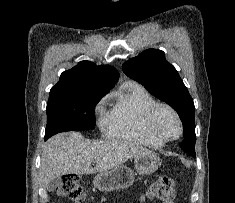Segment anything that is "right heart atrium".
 I'll use <instances>...</instances> for the list:
<instances>
[{
	"label": "right heart atrium",
	"mask_w": 235,
	"mask_h": 203,
	"mask_svg": "<svg viewBox=\"0 0 235 203\" xmlns=\"http://www.w3.org/2000/svg\"><path fill=\"white\" fill-rule=\"evenodd\" d=\"M105 102H106V98L102 99V100L98 103V105H97V107H96V110H97L98 112H101V111L104 109Z\"/></svg>",
	"instance_id": "obj_1"
}]
</instances>
